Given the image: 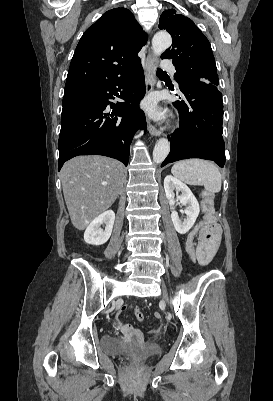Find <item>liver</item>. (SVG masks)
<instances>
[{
    "label": "liver",
    "instance_id": "6515ba94",
    "mask_svg": "<svg viewBox=\"0 0 273 401\" xmlns=\"http://www.w3.org/2000/svg\"><path fill=\"white\" fill-rule=\"evenodd\" d=\"M124 172L121 162L97 154L75 156L63 164V194L75 229L83 231L113 205L122 190Z\"/></svg>",
    "mask_w": 273,
    "mask_h": 401
}]
</instances>
